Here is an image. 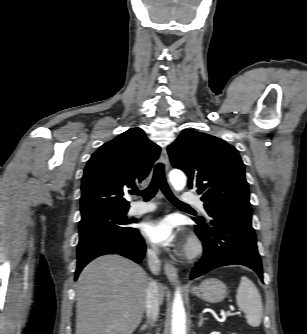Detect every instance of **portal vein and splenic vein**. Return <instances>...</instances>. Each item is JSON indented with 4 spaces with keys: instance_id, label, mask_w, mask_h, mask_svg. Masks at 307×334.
Segmentation results:
<instances>
[{
    "instance_id": "18ae733b",
    "label": "portal vein and splenic vein",
    "mask_w": 307,
    "mask_h": 334,
    "mask_svg": "<svg viewBox=\"0 0 307 334\" xmlns=\"http://www.w3.org/2000/svg\"><path fill=\"white\" fill-rule=\"evenodd\" d=\"M229 315H231V313L228 311V312L225 314V317H226V316H229Z\"/></svg>"
}]
</instances>
